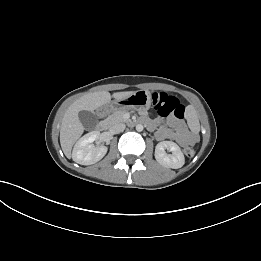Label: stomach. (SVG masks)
Returning a JSON list of instances; mask_svg holds the SVG:
<instances>
[{
    "label": "stomach",
    "mask_w": 261,
    "mask_h": 261,
    "mask_svg": "<svg viewBox=\"0 0 261 261\" xmlns=\"http://www.w3.org/2000/svg\"><path fill=\"white\" fill-rule=\"evenodd\" d=\"M152 102L151 93L148 90H138L123 99L114 100L101 108L107 114L117 110L134 109L146 111L150 108Z\"/></svg>",
    "instance_id": "obj_1"
}]
</instances>
